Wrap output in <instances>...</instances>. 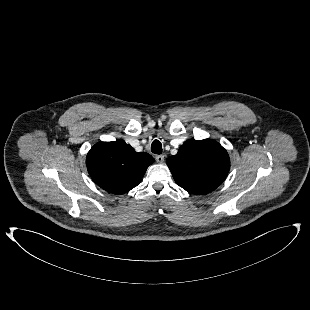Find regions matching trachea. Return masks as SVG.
Returning a JSON list of instances; mask_svg holds the SVG:
<instances>
[{
    "label": "trachea",
    "mask_w": 310,
    "mask_h": 310,
    "mask_svg": "<svg viewBox=\"0 0 310 310\" xmlns=\"http://www.w3.org/2000/svg\"><path fill=\"white\" fill-rule=\"evenodd\" d=\"M151 151L154 154H161L162 153V144L159 140H154L151 144Z\"/></svg>",
    "instance_id": "1"
}]
</instances>
